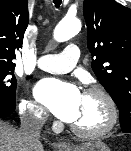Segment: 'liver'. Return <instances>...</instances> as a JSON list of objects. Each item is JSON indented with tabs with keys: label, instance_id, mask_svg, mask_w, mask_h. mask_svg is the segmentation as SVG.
Masks as SVG:
<instances>
[{
	"label": "liver",
	"instance_id": "6515ba94",
	"mask_svg": "<svg viewBox=\"0 0 131 151\" xmlns=\"http://www.w3.org/2000/svg\"><path fill=\"white\" fill-rule=\"evenodd\" d=\"M0 151H44L39 141H30L8 123L0 120Z\"/></svg>",
	"mask_w": 131,
	"mask_h": 151
}]
</instances>
